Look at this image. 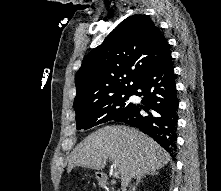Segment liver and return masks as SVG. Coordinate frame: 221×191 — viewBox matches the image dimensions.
<instances>
[{
  "instance_id": "obj_1",
  "label": "liver",
  "mask_w": 221,
  "mask_h": 191,
  "mask_svg": "<svg viewBox=\"0 0 221 191\" xmlns=\"http://www.w3.org/2000/svg\"><path fill=\"white\" fill-rule=\"evenodd\" d=\"M107 158L116 162L123 189L132 178L159 170L170 160L169 154L142 132L126 126H106L73 150L67 170L75 166L102 170Z\"/></svg>"
}]
</instances>
